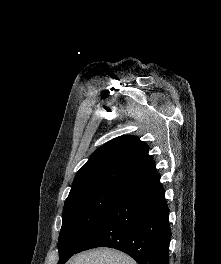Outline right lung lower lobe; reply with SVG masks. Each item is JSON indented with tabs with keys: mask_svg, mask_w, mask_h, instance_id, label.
Returning a JSON list of instances; mask_svg holds the SVG:
<instances>
[{
	"mask_svg": "<svg viewBox=\"0 0 221 264\" xmlns=\"http://www.w3.org/2000/svg\"><path fill=\"white\" fill-rule=\"evenodd\" d=\"M168 216L160 175L154 172L126 186L75 253L111 247L127 253L138 264H169ZM70 257L58 264H64Z\"/></svg>",
	"mask_w": 221,
	"mask_h": 264,
	"instance_id": "98d812e1",
	"label": "right lung lower lobe"
}]
</instances>
